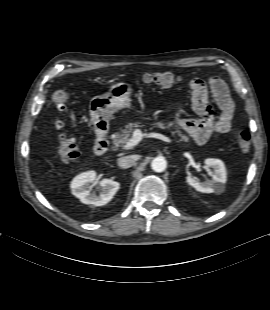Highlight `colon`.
<instances>
[{
  "mask_svg": "<svg viewBox=\"0 0 270 310\" xmlns=\"http://www.w3.org/2000/svg\"><path fill=\"white\" fill-rule=\"evenodd\" d=\"M141 81L147 84H157L164 87H175L180 83V78L170 72H159L153 74H145ZM70 93L66 90H57L52 96V104L57 111H63L70 100ZM210 108V106L208 107ZM64 123L56 120L53 123L54 137L59 147V156L62 161H70L76 159L80 155V148L76 138L68 137L62 129ZM238 149L242 153H247L251 147V136L248 132L243 131L236 137Z\"/></svg>",
  "mask_w": 270,
  "mask_h": 310,
  "instance_id": "5ec220e1",
  "label": "colon"
}]
</instances>
